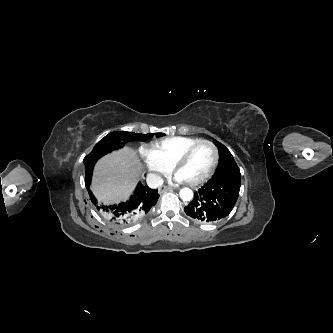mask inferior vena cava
<instances>
[{"label":"inferior vena cava","mask_w":333,"mask_h":333,"mask_svg":"<svg viewBox=\"0 0 333 333\" xmlns=\"http://www.w3.org/2000/svg\"><path fill=\"white\" fill-rule=\"evenodd\" d=\"M147 184L150 188L156 189L163 185V179L157 174H148L147 175Z\"/></svg>","instance_id":"602c4592"}]
</instances>
